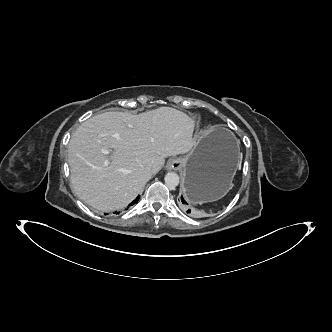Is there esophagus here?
<instances>
[{
  "label": "esophagus",
  "mask_w": 332,
  "mask_h": 332,
  "mask_svg": "<svg viewBox=\"0 0 332 332\" xmlns=\"http://www.w3.org/2000/svg\"><path fill=\"white\" fill-rule=\"evenodd\" d=\"M180 162L178 160H170L168 163H167V168L169 170H177L180 168Z\"/></svg>",
  "instance_id": "esophagus-1"
}]
</instances>
